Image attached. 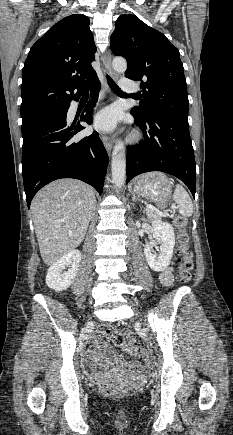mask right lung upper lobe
Segmentation results:
<instances>
[{"instance_id":"obj_1","label":"right lung upper lobe","mask_w":233,"mask_h":435,"mask_svg":"<svg viewBox=\"0 0 233 435\" xmlns=\"http://www.w3.org/2000/svg\"><path fill=\"white\" fill-rule=\"evenodd\" d=\"M96 46L83 14L65 17L30 49L21 84V117L69 106L97 75L91 66Z\"/></svg>"}]
</instances>
